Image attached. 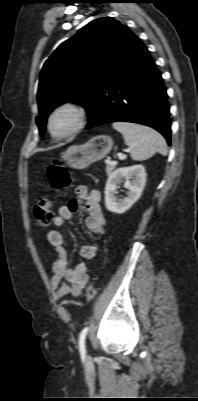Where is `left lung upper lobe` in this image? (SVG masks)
I'll use <instances>...</instances> for the list:
<instances>
[{"label":"left lung upper lobe","mask_w":198,"mask_h":401,"mask_svg":"<svg viewBox=\"0 0 198 401\" xmlns=\"http://www.w3.org/2000/svg\"><path fill=\"white\" fill-rule=\"evenodd\" d=\"M136 40L127 26L105 17L63 42L40 73L36 119L40 135L48 115L59 104L75 102L89 113L105 81Z\"/></svg>","instance_id":"5c2ea615"}]
</instances>
